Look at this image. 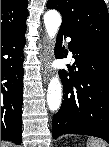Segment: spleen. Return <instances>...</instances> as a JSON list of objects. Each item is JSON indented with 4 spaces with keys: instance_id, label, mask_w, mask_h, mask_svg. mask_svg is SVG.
Instances as JSON below:
<instances>
[{
    "instance_id": "1",
    "label": "spleen",
    "mask_w": 109,
    "mask_h": 147,
    "mask_svg": "<svg viewBox=\"0 0 109 147\" xmlns=\"http://www.w3.org/2000/svg\"><path fill=\"white\" fill-rule=\"evenodd\" d=\"M87 147H108V144L102 139L91 137L87 140Z\"/></svg>"
}]
</instances>
